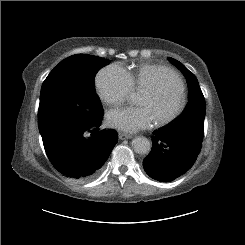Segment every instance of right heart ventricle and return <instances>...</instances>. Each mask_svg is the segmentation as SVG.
I'll list each match as a JSON object with an SVG mask.
<instances>
[{
    "instance_id": "right-heart-ventricle-1",
    "label": "right heart ventricle",
    "mask_w": 245,
    "mask_h": 245,
    "mask_svg": "<svg viewBox=\"0 0 245 245\" xmlns=\"http://www.w3.org/2000/svg\"><path fill=\"white\" fill-rule=\"evenodd\" d=\"M168 68L157 64H143L134 71H127L133 88L144 91L146 88L157 84L162 72ZM182 82V80H181ZM184 88V84L182 82Z\"/></svg>"
}]
</instances>
